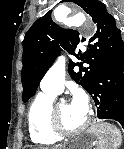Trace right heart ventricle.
Returning <instances> with one entry per match:
<instances>
[{
    "label": "right heart ventricle",
    "instance_id": "right-heart-ventricle-1",
    "mask_svg": "<svg viewBox=\"0 0 124 149\" xmlns=\"http://www.w3.org/2000/svg\"><path fill=\"white\" fill-rule=\"evenodd\" d=\"M56 93H38L28 111V131L31 141L36 145H53L62 138L53 132L50 124V109Z\"/></svg>",
    "mask_w": 124,
    "mask_h": 149
}]
</instances>
